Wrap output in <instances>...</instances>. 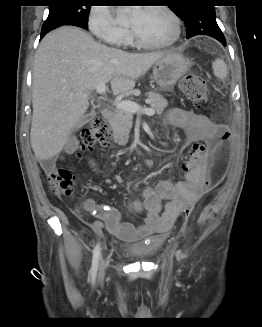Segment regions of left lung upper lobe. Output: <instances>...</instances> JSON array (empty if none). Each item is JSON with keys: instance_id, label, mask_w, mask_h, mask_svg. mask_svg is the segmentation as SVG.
Here are the masks:
<instances>
[{"instance_id": "5c2ea615", "label": "left lung upper lobe", "mask_w": 262, "mask_h": 327, "mask_svg": "<svg viewBox=\"0 0 262 327\" xmlns=\"http://www.w3.org/2000/svg\"><path fill=\"white\" fill-rule=\"evenodd\" d=\"M186 2L185 5H178L175 0H172L170 8L184 21L187 35L194 31L219 30L214 6L208 4L207 0H187Z\"/></svg>"}]
</instances>
